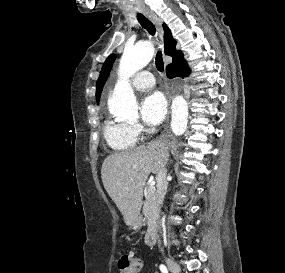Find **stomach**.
Returning a JSON list of instances; mask_svg holds the SVG:
<instances>
[{
    "mask_svg": "<svg viewBox=\"0 0 285 273\" xmlns=\"http://www.w3.org/2000/svg\"><path fill=\"white\" fill-rule=\"evenodd\" d=\"M140 225V220H137L132 224L133 227H138Z\"/></svg>",
    "mask_w": 285,
    "mask_h": 273,
    "instance_id": "stomach-1",
    "label": "stomach"
}]
</instances>
